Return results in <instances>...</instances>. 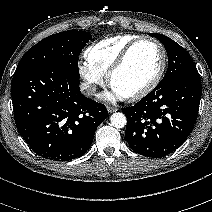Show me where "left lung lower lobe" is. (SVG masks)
Listing matches in <instances>:
<instances>
[{
  "instance_id": "0a47b994",
  "label": "left lung lower lobe",
  "mask_w": 212,
  "mask_h": 212,
  "mask_svg": "<svg viewBox=\"0 0 212 212\" xmlns=\"http://www.w3.org/2000/svg\"><path fill=\"white\" fill-rule=\"evenodd\" d=\"M197 71L155 87L134 106L123 108L125 138L141 155L158 158L178 149L192 131L201 99Z\"/></svg>"
}]
</instances>
